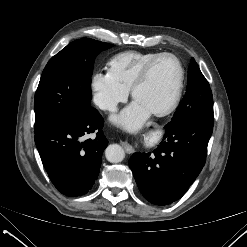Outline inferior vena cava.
I'll return each mask as SVG.
<instances>
[{
    "mask_svg": "<svg viewBox=\"0 0 247 247\" xmlns=\"http://www.w3.org/2000/svg\"><path fill=\"white\" fill-rule=\"evenodd\" d=\"M102 108L114 111L116 109V103H106L102 105Z\"/></svg>",
    "mask_w": 247,
    "mask_h": 247,
    "instance_id": "inferior-vena-cava-1",
    "label": "inferior vena cava"
}]
</instances>
